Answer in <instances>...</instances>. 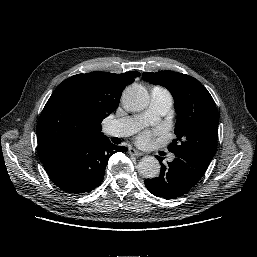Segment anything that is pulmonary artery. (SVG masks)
Masks as SVG:
<instances>
[{"instance_id": "1", "label": "pulmonary artery", "mask_w": 257, "mask_h": 257, "mask_svg": "<svg viewBox=\"0 0 257 257\" xmlns=\"http://www.w3.org/2000/svg\"><path fill=\"white\" fill-rule=\"evenodd\" d=\"M173 104L172 95L162 87H154L151 90L150 103L147 110L139 116L125 117L110 121L105 132L109 136L124 137L136 132L141 126L157 121L164 116ZM173 155H169L172 160Z\"/></svg>"}]
</instances>
